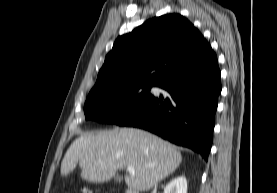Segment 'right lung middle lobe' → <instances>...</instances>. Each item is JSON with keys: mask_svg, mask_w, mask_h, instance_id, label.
<instances>
[{"mask_svg": "<svg viewBox=\"0 0 277 193\" xmlns=\"http://www.w3.org/2000/svg\"><path fill=\"white\" fill-rule=\"evenodd\" d=\"M151 87L135 85L89 93L84 105L85 118L101 123L117 124L152 97Z\"/></svg>", "mask_w": 277, "mask_h": 193, "instance_id": "obj_1", "label": "right lung middle lobe"}]
</instances>
